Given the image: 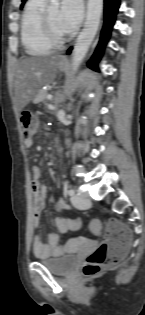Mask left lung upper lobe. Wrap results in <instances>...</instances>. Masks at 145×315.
I'll list each match as a JSON object with an SVG mask.
<instances>
[{"label":"left lung upper lobe","instance_id":"5c2ea615","mask_svg":"<svg viewBox=\"0 0 145 315\" xmlns=\"http://www.w3.org/2000/svg\"><path fill=\"white\" fill-rule=\"evenodd\" d=\"M25 1H26V0H22V5H21V8L23 7V4L25 3Z\"/></svg>","mask_w":145,"mask_h":315}]
</instances>
